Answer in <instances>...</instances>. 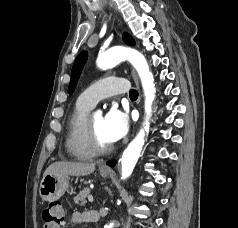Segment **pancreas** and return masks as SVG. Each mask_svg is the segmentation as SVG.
Segmentation results:
<instances>
[{
    "label": "pancreas",
    "mask_w": 238,
    "mask_h": 228,
    "mask_svg": "<svg viewBox=\"0 0 238 228\" xmlns=\"http://www.w3.org/2000/svg\"><path fill=\"white\" fill-rule=\"evenodd\" d=\"M89 194L90 189L84 188L76 197H74V202L80 204L81 206H84L87 203L86 198L89 197Z\"/></svg>",
    "instance_id": "1"
}]
</instances>
